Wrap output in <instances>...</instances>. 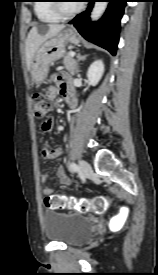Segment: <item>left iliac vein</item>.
<instances>
[{
  "mask_svg": "<svg viewBox=\"0 0 158 275\" xmlns=\"http://www.w3.org/2000/svg\"><path fill=\"white\" fill-rule=\"evenodd\" d=\"M79 168L85 176H89L92 173V168H91L90 164L88 162H86L85 160L79 161Z\"/></svg>",
  "mask_w": 158,
  "mask_h": 275,
  "instance_id": "left-iliac-vein-1",
  "label": "left iliac vein"
}]
</instances>
